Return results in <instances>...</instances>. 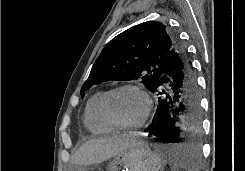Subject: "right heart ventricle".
I'll return each mask as SVG.
<instances>
[{
	"instance_id": "right-heart-ventricle-1",
	"label": "right heart ventricle",
	"mask_w": 245,
	"mask_h": 171,
	"mask_svg": "<svg viewBox=\"0 0 245 171\" xmlns=\"http://www.w3.org/2000/svg\"><path fill=\"white\" fill-rule=\"evenodd\" d=\"M104 91L96 92L88 100L84 111V125L92 133L106 134L110 133L113 128L108 125L99 113V103Z\"/></svg>"
}]
</instances>
